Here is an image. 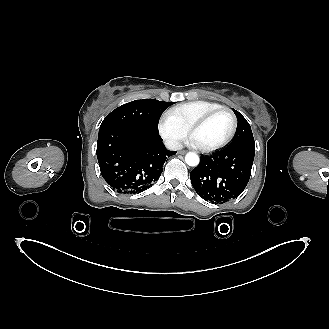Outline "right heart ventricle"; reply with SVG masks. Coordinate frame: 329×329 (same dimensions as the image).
I'll use <instances>...</instances> for the list:
<instances>
[{
	"label": "right heart ventricle",
	"mask_w": 329,
	"mask_h": 329,
	"mask_svg": "<svg viewBox=\"0 0 329 329\" xmlns=\"http://www.w3.org/2000/svg\"><path fill=\"white\" fill-rule=\"evenodd\" d=\"M223 107L220 103L197 100L179 104L168 111L186 130L191 124L200 119L210 111Z\"/></svg>",
	"instance_id": "1"
}]
</instances>
